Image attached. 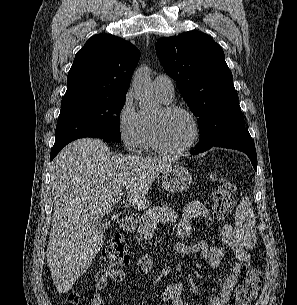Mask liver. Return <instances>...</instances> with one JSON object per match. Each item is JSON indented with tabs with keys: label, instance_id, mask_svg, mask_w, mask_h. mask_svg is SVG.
<instances>
[{
	"label": "liver",
	"instance_id": "liver-1",
	"mask_svg": "<svg viewBox=\"0 0 297 305\" xmlns=\"http://www.w3.org/2000/svg\"><path fill=\"white\" fill-rule=\"evenodd\" d=\"M174 159L117 155L100 139L67 145L53 160L54 201L47 263L56 290L68 292L104 244L101 218L113 211L114 197L127 190L129 205L144 209L155 178Z\"/></svg>",
	"mask_w": 297,
	"mask_h": 305
}]
</instances>
